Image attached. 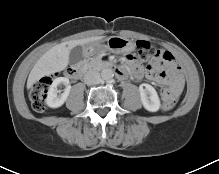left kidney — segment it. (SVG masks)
Here are the masks:
<instances>
[{
  "label": "left kidney",
  "mask_w": 219,
  "mask_h": 174,
  "mask_svg": "<svg viewBox=\"0 0 219 174\" xmlns=\"http://www.w3.org/2000/svg\"><path fill=\"white\" fill-rule=\"evenodd\" d=\"M139 92L142 105L146 110L156 112L160 109V99L153 86L143 83L139 86Z\"/></svg>",
  "instance_id": "obj_1"
}]
</instances>
